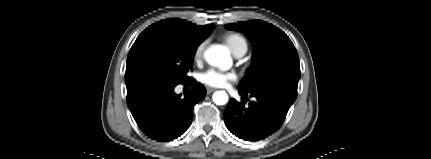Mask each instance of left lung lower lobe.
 <instances>
[{
    "label": "left lung lower lobe",
    "mask_w": 431,
    "mask_h": 159,
    "mask_svg": "<svg viewBox=\"0 0 431 159\" xmlns=\"http://www.w3.org/2000/svg\"><path fill=\"white\" fill-rule=\"evenodd\" d=\"M256 100L248 106L231 99L224 112V121L231 133L246 141H258L280 128L297 95L277 87L245 93Z\"/></svg>",
    "instance_id": "0a47b994"
}]
</instances>
